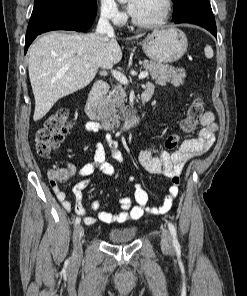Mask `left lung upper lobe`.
Masks as SVG:
<instances>
[{
	"label": "left lung upper lobe",
	"mask_w": 247,
	"mask_h": 296,
	"mask_svg": "<svg viewBox=\"0 0 247 296\" xmlns=\"http://www.w3.org/2000/svg\"><path fill=\"white\" fill-rule=\"evenodd\" d=\"M197 0H173L175 5V10L173 15L179 14L190 7Z\"/></svg>",
	"instance_id": "left-lung-upper-lobe-1"
}]
</instances>
